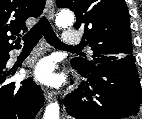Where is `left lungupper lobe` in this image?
<instances>
[{"label":"left lung upper lobe","instance_id":"obj_1","mask_svg":"<svg viewBox=\"0 0 142 119\" xmlns=\"http://www.w3.org/2000/svg\"><path fill=\"white\" fill-rule=\"evenodd\" d=\"M57 7L70 8L76 15L75 29L85 28L83 40L93 51V60L77 57L71 65L78 71L91 70L99 63L135 60L124 0H56Z\"/></svg>","mask_w":142,"mask_h":119}]
</instances>
